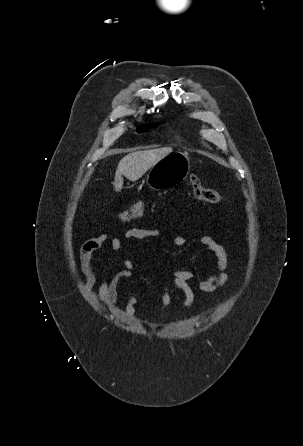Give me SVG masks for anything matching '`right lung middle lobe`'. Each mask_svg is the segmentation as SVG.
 <instances>
[{
  "mask_svg": "<svg viewBox=\"0 0 303 446\" xmlns=\"http://www.w3.org/2000/svg\"><path fill=\"white\" fill-rule=\"evenodd\" d=\"M157 125H158V123H154V124H152L151 126H149V125H143V126H141V127L138 129V132H139V133L145 132V131L149 130L150 127H155V126H157Z\"/></svg>",
  "mask_w": 303,
  "mask_h": 446,
  "instance_id": "dd1d6c3e",
  "label": "right lung middle lobe"
}]
</instances>
